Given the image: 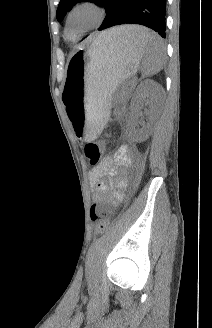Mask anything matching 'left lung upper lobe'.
<instances>
[{
	"instance_id": "1",
	"label": "left lung upper lobe",
	"mask_w": 212,
	"mask_h": 328,
	"mask_svg": "<svg viewBox=\"0 0 212 328\" xmlns=\"http://www.w3.org/2000/svg\"><path fill=\"white\" fill-rule=\"evenodd\" d=\"M81 1H90L100 6H105L106 0H60L57 8L56 17L58 21H61L66 13L77 3Z\"/></svg>"
}]
</instances>
